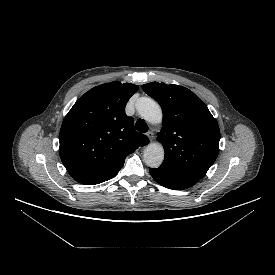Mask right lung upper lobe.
Masks as SVG:
<instances>
[{"label": "right lung upper lobe", "instance_id": "1", "mask_svg": "<svg viewBox=\"0 0 275 275\" xmlns=\"http://www.w3.org/2000/svg\"><path fill=\"white\" fill-rule=\"evenodd\" d=\"M137 90V85L120 82L96 86L65 116L59 154L77 182L94 185L115 177L126 156L149 143L125 114L126 103Z\"/></svg>", "mask_w": 275, "mask_h": 275}]
</instances>
